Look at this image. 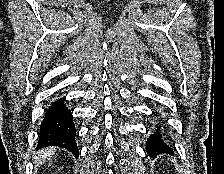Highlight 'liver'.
I'll return each mask as SVG.
<instances>
[{"label":"liver","instance_id":"obj_1","mask_svg":"<svg viewBox=\"0 0 224 174\" xmlns=\"http://www.w3.org/2000/svg\"><path fill=\"white\" fill-rule=\"evenodd\" d=\"M55 152L54 147H49L45 149H41L37 154L38 156L35 158L36 164H42L44 161L48 160Z\"/></svg>","mask_w":224,"mask_h":174}]
</instances>
